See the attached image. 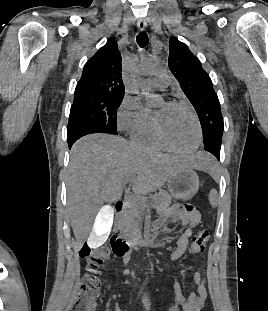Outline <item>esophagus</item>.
<instances>
[{
	"mask_svg": "<svg viewBox=\"0 0 268 311\" xmlns=\"http://www.w3.org/2000/svg\"><path fill=\"white\" fill-rule=\"evenodd\" d=\"M137 27L140 31H144L147 27V23L144 19H139L137 22Z\"/></svg>",
	"mask_w": 268,
	"mask_h": 311,
	"instance_id": "esophagus-1",
	"label": "esophagus"
}]
</instances>
